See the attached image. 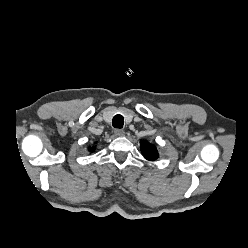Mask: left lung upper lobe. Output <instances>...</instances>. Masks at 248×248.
<instances>
[{
	"mask_svg": "<svg viewBox=\"0 0 248 248\" xmlns=\"http://www.w3.org/2000/svg\"><path fill=\"white\" fill-rule=\"evenodd\" d=\"M140 148L143 156L150 161L156 160L159 155L158 151L153 144H150L146 140L140 142Z\"/></svg>",
	"mask_w": 248,
	"mask_h": 248,
	"instance_id": "obj_1",
	"label": "left lung upper lobe"
}]
</instances>
